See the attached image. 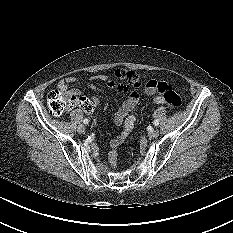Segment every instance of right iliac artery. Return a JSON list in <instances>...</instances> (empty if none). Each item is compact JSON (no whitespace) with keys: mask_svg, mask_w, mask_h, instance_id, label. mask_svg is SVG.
Masks as SVG:
<instances>
[{"mask_svg":"<svg viewBox=\"0 0 233 233\" xmlns=\"http://www.w3.org/2000/svg\"><path fill=\"white\" fill-rule=\"evenodd\" d=\"M83 123H84V124H88V123H89V120H88L87 118H85V119L83 120Z\"/></svg>","mask_w":233,"mask_h":233,"instance_id":"right-iliac-artery-1","label":"right iliac artery"}]
</instances>
